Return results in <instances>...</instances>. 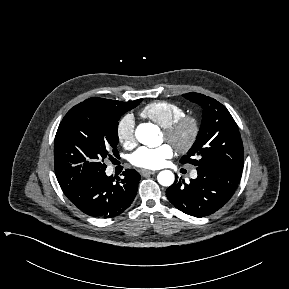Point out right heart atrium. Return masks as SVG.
<instances>
[{
    "mask_svg": "<svg viewBox=\"0 0 289 289\" xmlns=\"http://www.w3.org/2000/svg\"><path fill=\"white\" fill-rule=\"evenodd\" d=\"M117 138L124 147H132L136 142L135 121L131 114L124 115L117 124Z\"/></svg>",
    "mask_w": 289,
    "mask_h": 289,
    "instance_id": "obj_1",
    "label": "right heart atrium"
}]
</instances>
